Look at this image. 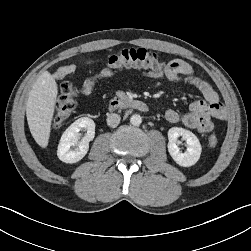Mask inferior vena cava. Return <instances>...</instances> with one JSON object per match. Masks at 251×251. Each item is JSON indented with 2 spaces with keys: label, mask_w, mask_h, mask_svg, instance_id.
Segmentation results:
<instances>
[{
  "label": "inferior vena cava",
  "mask_w": 251,
  "mask_h": 251,
  "mask_svg": "<svg viewBox=\"0 0 251 251\" xmlns=\"http://www.w3.org/2000/svg\"><path fill=\"white\" fill-rule=\"evenodd\" d=\"M120 120H121L120 115L115 114V113L108 114V116H107V125L109 127L115 128V127H117L119 125Z\"/></svg>",
  "instance_id": "inferior-vena-cava-1"
}]
</instances>
